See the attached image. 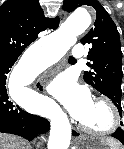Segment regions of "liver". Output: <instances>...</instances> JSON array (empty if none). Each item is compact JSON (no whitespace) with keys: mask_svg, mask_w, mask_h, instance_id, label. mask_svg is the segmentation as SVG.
I'll return each mask as SVG.
<instances>
[{"mask_svg":"<svg viewBox=\"0 0 124 149\" xmlns=\"http://www.w3.org/2000/svg\"><path fill=\"white\" fill-rule=\"evenodd\" d=\"M24 145L19 137L0 134V149H25Z\"/></svg>","mask_w":124,"mask_h":149,"instance_id":"6515ba94","label":"liver"}]
</instances>
